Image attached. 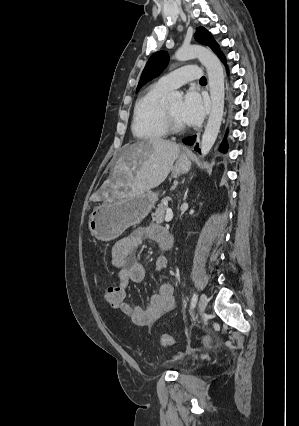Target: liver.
I'll return each instance as SVG.
<instances>
[{
    "instance_id": "liver-1",
    "label": "liver",
    "mask_w": 299,
    "mask_h": 426,
    "mask_svg": "<svg viewBox=\"0 0 299 426\" xmlns=\"http://www.w3.org/2000/svg\"><path fill=\"white\" fill-rule=\"evenodd\" d=\"M180 149L177 143L160 138L127 145L113 172V177H122L124 180L125 192L120 196L141 194L159 186L171 171Z\"/></svg>"
}]
</instances>
